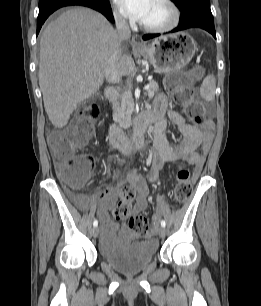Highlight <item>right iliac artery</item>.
Masks as SVG:
<instances>
[{
    "mask_svg": "<svg viewBox=\"0 0 261 306\" xmlns=\"http://www.w3.org/2000/svg\"><path fill=\"white\" fill-rule=\"evenodd\" d=\"M93 226H94V227H97V226H98V221H97V220H94Z\"/></svg>",
    "mask_w": 261,
    "mask_h": 306,
    "instance_id": "right-iliac-artery-1",
    "label": "right iliac artery"
}]
</instances>
